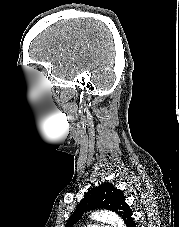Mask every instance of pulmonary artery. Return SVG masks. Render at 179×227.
<instances>
[{"label":"pulmonary artery","mask_w":179,"mask_h":227,"mask_svg":"<svg viewBox=\"0 0 179 227\" xmlns=\"http://www.w3.org/2000/svg\"><path fill=\"white\" fill-rule=\"evenodd\" d=\"M88 227H111V226L107 224H92L89 225Z\"/></svg>","instance_id":"pulmonary-artery-1"}]
</instances>
